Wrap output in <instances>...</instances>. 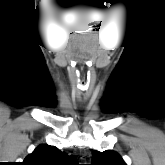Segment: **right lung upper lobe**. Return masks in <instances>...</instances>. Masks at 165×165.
<instances>
[{
  "instance_id": "cb5924a9",
  "label": "right lung upper lobe",
  "mask_w": 165,
  "mask_h": 165,
  "mask_svg": "<svg viewBox=\"0 0 165 165\" xmlns=\"http://www.w3.org/2000/svg\"><path fill=\"white\" fill-rule=\"evenodd\" d=\"M22 165H79L74 156L61 152L54 146L40 145L28 155Z\"/></svg>"
}]
</instances>
